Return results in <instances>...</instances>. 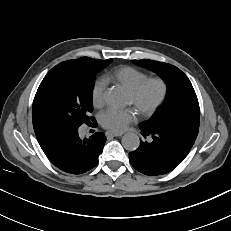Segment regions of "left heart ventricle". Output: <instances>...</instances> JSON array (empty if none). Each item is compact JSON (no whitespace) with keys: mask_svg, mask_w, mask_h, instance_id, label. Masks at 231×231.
I'll return each instance as SVG.
<instances>
[{"mask_svg":"<svg viewBox=\"0 0 231 231\" xmlns=\"http://www.w3.org/2000/svg\"><path fill=\"white\" fill-rule=\"evenodd\" d=\"M160 94V86L158 84L149 85L144 92L141 94L138 107L145 108L153 104ZM128 103L133 105L131 96H128Z\"/></svg>","mask_w":231,"mask_h":231,"instance_id":"1","label":"left heart ventricle"}]
</instances>
